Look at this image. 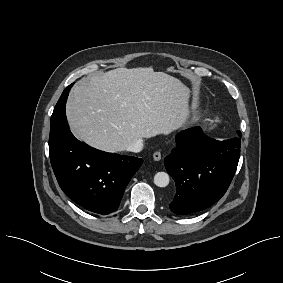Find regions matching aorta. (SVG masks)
Here are the masks:
<instances>
[{"label": "aorta", "mask_w": 283, "mask_h": 283, "mask_svg": "<svg viewBox=\"0 0 283 283\" xmlns=\"http://www.w3.org/2000/svg\"><path fill=\"white\" fill-rule=\"evenodd\" d=\"M169 181V175L165 172H158L154 176V183L158 187H166Z\"/></svg>", "instance_id": "1"}]
</instances>
